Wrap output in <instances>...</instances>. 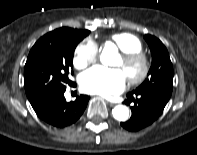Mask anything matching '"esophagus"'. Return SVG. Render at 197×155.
Segmentation results:
<instances>
[{"label": "esophagus", "instance_id": "esophagus-1", "mask_svg": "<svg viewBox=\"0 0 197 155\" xmlns=\"http://www.w3.org/2000/svg\"><path fill=\"white\" fill-rule=\"evenodd\" d=\"M108 104H109L110 106H114V105H115V103H114V102H111V101H108Z\"/></svg>", "mask_w": 197, "mask_h": 155}]
</instances>
